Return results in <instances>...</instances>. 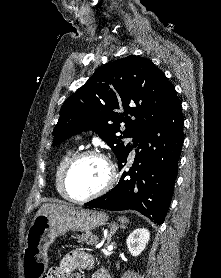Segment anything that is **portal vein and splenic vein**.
<instances>
[{
    "label": "portal vein and splenic vein",
    "mask_w": 221,
    "mask_h": 278,
    "mask_svg": "<svg viewBox=\"0 0 221 278\" xmlns=\"http://www.w3.org/2000/svg\"><path fill=\"white\" fill-rule=\"evenodd\" d=\"M103 245V243H99L96 245V248H100Z\"/></svg>",
    "instance_id": "obj_1"
}]
</instances>
